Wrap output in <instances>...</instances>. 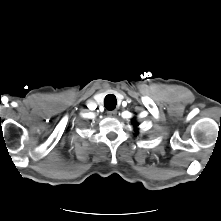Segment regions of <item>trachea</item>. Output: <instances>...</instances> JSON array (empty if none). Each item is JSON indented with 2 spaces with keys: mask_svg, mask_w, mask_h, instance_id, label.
<instances>
[{
  "mask_svg": "<svg viewBox=\"0 0 221 221\" xmlns=\"http://www.w3.org/2000/svg\"><path fill=\"white\" fill-rule=\"evenodd\" d=\"M117 100L115 95L109 94L105 97L104 106L107 110H114L116 108Z\"/></svg>",
  "mask_w": 221,
  "mask_h": 221,
  "instance_id": "1",
  "label": "trachea"
}]
</instances>
